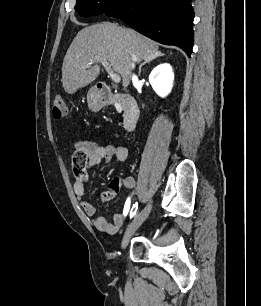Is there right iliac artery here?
Listing matches in <instances>:
<instances>
[{"mask_svg": "<svg viewBox=\"0 0 261 306\" xmlns=\"http://www.w3.org/2000/svg\"><path fill=\"white\" fill-rule=\"evenodd\" d=\"M129 207H130V198H128L126 200L125 206H124V215H127L128 211H129ZM138 209V202H136L135 204H133V207L130 211V219L133 218L137 212Z\"/></svg>", "mask_w": 261, "mask_h": 306, "instance_id": "right-iliac-artery-1", "label": "right iliac artery"}]
</instances>
